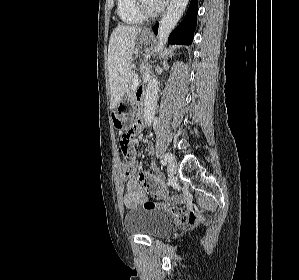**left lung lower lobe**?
I'll use <instances>...</instances> for the list:
<instances>
[{
  "label": "left lung lower lobe",
  "mask_w": 299,
  "mask_h": 280,
  "mask_svg": "<svg viewBox=\"0 0 299 280\" xmlns=\"http://www.w3.org/2000/svg\"><path fill=\"white\" fill-rule=\"evenodd\" d=\"M198 13L197 0H191L188 12L180 25L171 33L169 43L186 44L192 43L193 34L196 28V16ZM153 31L157 34L158 24L153 27Z\"/></svg>",
  "instance_id": "left-lung-lower-lobe-1"
}]
</instances>
